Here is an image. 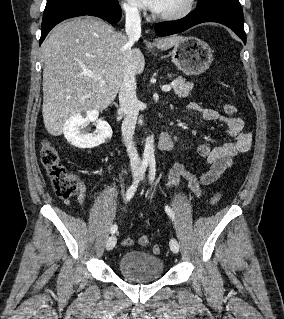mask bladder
I'll use <instances>...</instances> for the list:
<instances>
[{"label":"bladder","mask_w":284,"mask_h":319,"mask_svg":"<svg viewBox=\"0 0 284 319\" xmlns=\"http://www.w3.org/2000/svg\"><path fill=\"white\" fill-rule=\"evenodd\" d=\"M120 273L132 282H151L163 274L161 258L143 251H127L119 259Z\"/></svg>","instance_id":"1"}]
</instances>
